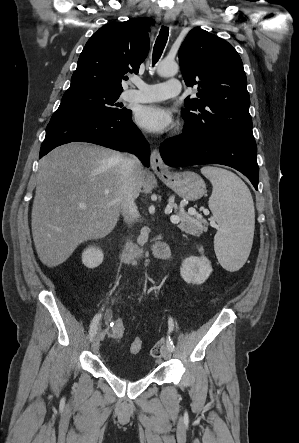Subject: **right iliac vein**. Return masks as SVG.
I'll use <instances>...</instances> for the list:
<instances>
[{"mask_svg":"<svg viewBox=\"0 0 299 443\" xmlns=\"http://www.w3.org/2000/svg\"><path fill=\"white\" fill-rule=\"evenodd\" d=\"M99 349V339L96 337L91 344V350L92 352L96 353Z\"/></svg>","mask_w":299,"mask_h":443,"instance_id":"right-iliac-vein-1","label":"right iliac vein"}]
</instances>
